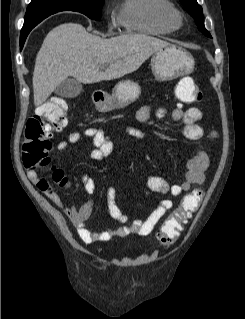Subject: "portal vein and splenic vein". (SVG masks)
Here are the masks:
<instances>
[{"mask_svg":"<svg viewBox=\"0 0 245 319\" xmlns=\"http://www.w3.org/2000/svg\"><path fill=\"white\" fill-rule=\"evenodd\" d=\"M100 67H101L102 69H104V68L106 67V65H105V64H102Z\"/></svg>","mask_w":245,"mask_h":319,"instance_id":"obj_1","label":"portal vein and splenic vein"}]
</instances>
